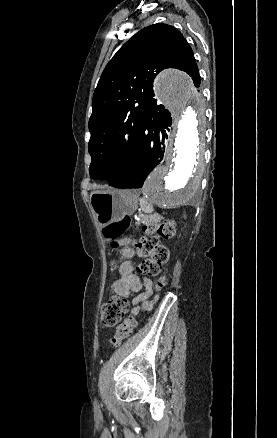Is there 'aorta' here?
<instances>
[{"label": "aorta", "instance_id": "obj_1", "mask_svg": "<svg viewBox=\"0 0 277 438\" xmlns=\"http://www.w3.org/2000/svg\"><path fill=\"white\" fill-rule=\"evenodd\" d=\"M155 93L171 112L173 127L164 164L153 170L143 190L158 206L173 208L189 201L201 182L204 109L189 77L177 70H166L157 77Z\"/></svg>", "mask_w": 277, "mask_h": 438}]
</instances>
